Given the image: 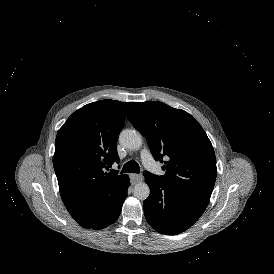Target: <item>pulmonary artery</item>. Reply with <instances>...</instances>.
Returning a JSON list of instances; mask_svg holds the SVG:
<instances>
[{
	"instance_id": "1",
	"label": "pulmonary artery",
	"mask_w": 274,
	"mask_h": 274,
	"mask_svg": "<svg viewBox=\"0 0 274 274\" xmlns=\"http://www.w3.org/2000/svg\"><path fill=\"white\" fill-rule=\"evenodd\" d=\"M150 153L147 149H144L141 153L142 160L144 161L146 158L150 157Z\"/></svg>"
}]
</instances>
